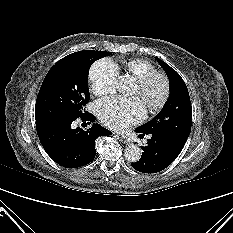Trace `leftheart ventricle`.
I'll return each mask as SVG.
<instances>
[{
	"label": "left heart ventricle",
	"instance_id": "b2bd125f",
	"mask_svg": "<svg viewBox=\"0 0 233 233\" xmlns=\"http://www.w3.org/2000/svg\"><path fill=\"white\" fill-rule=\"evenodd\" d=\"M162 92H163V84L159 80L153 82L151 86L147 89V91L142 95L140 94L137 84L135 85L134 88V94L138 95L141 98L145 106H147V104L149 103H153L157 101L162 95Z\"/></svg>",
	"mask_w": 233,
	"mask_h": 233
}]
</instances>
